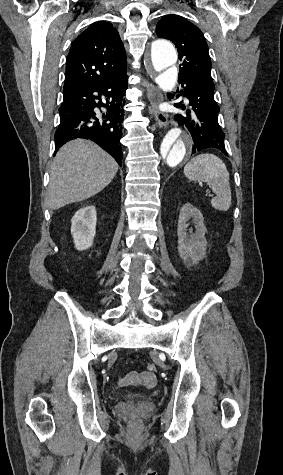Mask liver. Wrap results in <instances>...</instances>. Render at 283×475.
I'll list each match as a JSON object with an SVG mask.
<instances>
[{
	"label": "liver",
	"instance_id": "1",
	"mask_svg": "<svg viewBox=\"0 0 283 475\" xmlns=\"http://www.w3.org/2000/svg\"><path fill=\"white\" fill-rule=\"evenodd\" d=\"M114 158L90 140H73L60 148L50 170L48 206L59 210L66 204L95 196L118 172Z\"/></svg>",
	"mask_w": 283,
	"mask_h": 475
}]
</instances>
